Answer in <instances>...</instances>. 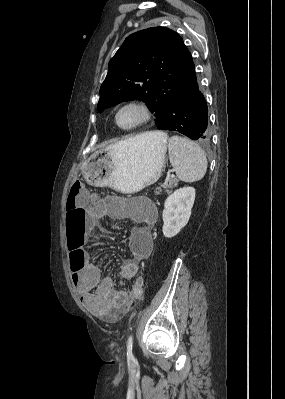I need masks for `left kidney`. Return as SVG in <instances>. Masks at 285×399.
<instances>
[{
  "label": "left kidney",
  "mask_w": 285,
  "mask_h": 399,
  "mask_svg": "<svg viewBox=\"0 0 285 399\" xmlns=\"http://www.w3.org/2000/svg\"><path fill=\"white\" fill-rule=\"evenodd\" d=\"M195 201V189L183 187L170 194L165 203L162 214V232L166 238L176 236L186 226Z\"/></svg>",
  "instance_id": "left-kidney-1"
}]
</instances>
